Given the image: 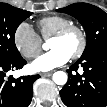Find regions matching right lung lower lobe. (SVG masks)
<instances>
[{
  "label": "right lung lower lobe",
  "mask_w": 107,
  "mask_h": 107,
  "mask_svg": "<svg viewBox=\"0 0 107 107\" xmlns=\"http://www.w3.org/2000/svg\"><path fill=\"white\" fill-rule=\"evenodd\" d=\"M26 63L22 57L12 61L0 59V107H28L31 103L32 85L40 76L5 77L8 71L21 69Z\"/></svg>",
  "instance_id": "right-lung-lower-lobe-1"
}]
</instances>
